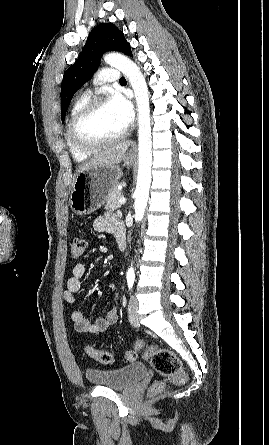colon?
I'll return each mask as SVG.
<instances>
[{"label":"colon","instance_id":"1","mask_svg":"<svg viewBox=\"0 0 269 445\" xmlns=\"http://www.w3.org/2000/svg\"><path fill=\"white\" fill-rule=\"evenodd\" d=\"M85 248L86 240L84 238H74L70 247L71 256L75 259L80 258L84 254ZM136 350L143 352L144 358L149 360L156 372L163 377L177 383L185 381L186 375L183 372L181 361L172 351L165 348L146 346L143 341L136 342ZM86 353L103 364H110L115 360L112 353L92 347H87ZM136 358L137 354L132 350L124 352L122 356L123 361L127 363H133ZM164 386L165 383L163 381H156L152 386V391L160 392L164 389Z\"/></svg>","mask_w":269,"mask_h":445}]
</instances>
